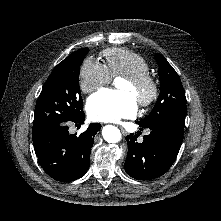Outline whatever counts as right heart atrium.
<instances>
[{"instance_id":"right-heart-atrium-1","label":"right heart atrium","mask_w":221,"mask_h":221,"mask_svg":"<svg viewBox=\"0 0 221 221\" xmlns=\"http://www.w3.org/2000/svg\"><path fill=\"white\" fill-rule=\"evenodd\" d=\"M110 81L111 76L104 64L92 58L84 60L78 76L79 88L83 93H91Z\"/></svg>"}]
</instances>
